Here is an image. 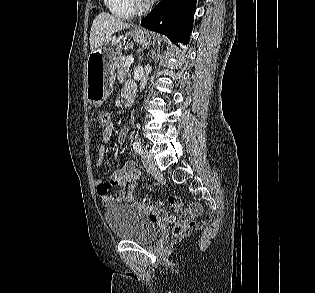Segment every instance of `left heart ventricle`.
Wrapping results in <instances>:
<instances>
[{
	"label": "left heart ventricle",
	"mask_w": 315,
	"mask_h": 293,
	"mask_svg": "<svg viewBox=\"0 0 315 293\" xmlns=\"http://www.w3.org/2000/svg\"><path fill=\"white\" fill-rule=\"evenodd\" d=\"M141 2H146V0H140Z\"/></svg>",
	"instance_id": "obj_1"
}]
</instances>
